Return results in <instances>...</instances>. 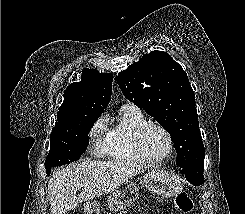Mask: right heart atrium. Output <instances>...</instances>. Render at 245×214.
<instances>
[{
    "label": "right heart atrium",
    "instance_id": "d8ad5b80",
    "mask_svg": "<svg viewBox=\"0 0 245 214\" xmlns=\"http://www.w3.org/2000/svg\"><path fill=\"white\" fill-rule=\"evenodd\" d=\"M107 133L106 117H99L92 125L89 131L91 150L96 156L104 154V141Z\"/></svg>",
    "mask_w": 245,
    "mask_h": 214
}]
</instances>
